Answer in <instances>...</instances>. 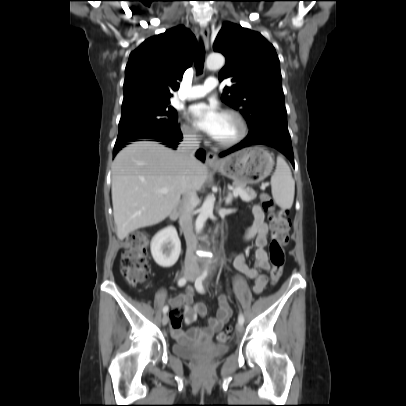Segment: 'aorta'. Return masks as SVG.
Returning a JSON list of instances; mask_svg holds the SVG:
<instances>
[{"label": "aorta", "instance_id": "1", "mask_svg": "<svg viewBox=\"0 0 406 406\" xmlns=\"http://www.w3.org/2000/svg\"><path fill=\"white\" fill-rule=\"evenodd\" d=\"M225 58L222 54L212 53L207 57L206 67L209 70H217L224 66ZM215 197L213 195L207 196L205 199L200 213L195 222L196 233H201L207 218L213 213Z\"/></svg>", "mask_w": 406, "mask_h": 406}]
</instances>
